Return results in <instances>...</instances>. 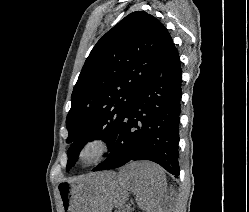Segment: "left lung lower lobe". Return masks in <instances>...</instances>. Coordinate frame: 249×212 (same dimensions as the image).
I'll use <instances>...</instances> for the list:
<instances>
[{
	"instance_id": "0a47b994",
	"label": "left lung lower lobe",
	"mask_w": 249,
	"mask_h": 212,
	"mask_svg": "<svg viewBox=\"0 0 249 212\" xmlns=\"http://www.w3.org/2000/svg\"><path fill=\"white\" fill-rule=\"evenodd\" d=\"M181 82L180 59L172 44L133 97L108 158L93 171L149 160L178 177Z\"/></svg>"
}]
</instances>
